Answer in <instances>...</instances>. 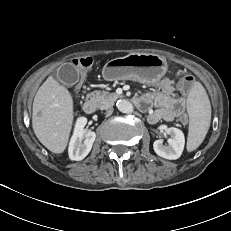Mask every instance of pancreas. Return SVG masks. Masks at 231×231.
Listing matches in <instances>:
<instances>
[{"mask_svg":"<svg viewBox=\"0 0 231 231\" xmlns=\"http://www.w3.org/2000/svg\"><path fill=\"white\" fill-rule=\"evenodd\" d=\"M90 95L92 99L97 103L98 107L101 109L111 107L119 97L118 94L110 93L107 91H93L90 93Z\"/></svg>","mask_w":231,"mask_h":231,"instance_id":"obj_1","label":"pancreas"}]
</instances>
